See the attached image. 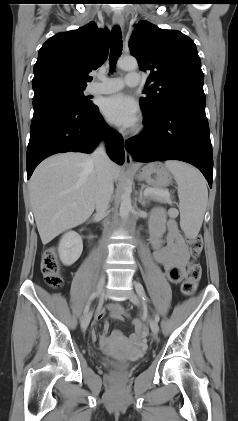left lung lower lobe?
<instances>
[{"instance_id": "obj_1", "label": "left lung lower lobe", "mask_w": 238, "mask_h": 421, "mask_svg": "<svg viewBox=\"0 0 238 421\" xmlns=\"http://www.w3.org/2000/svg\"><path fill=\"white\" fill-rule=\"evenodd\" d=\"M144 125V132L126 142L134 161H184L197 167L212 187L213 153L205 94H188L168 102L153 117L144 115Z\"/></svg>"}]
</instances>
